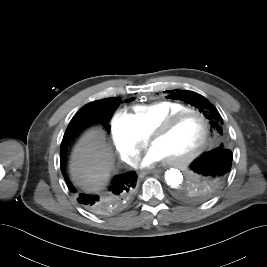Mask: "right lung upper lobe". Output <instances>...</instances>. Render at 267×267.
<instances>
[{
	"label": "right lung upper lobe",
	"mask_w": 267,
	"mask_h": 267,
	"mask_svg": "<svg viewBox=\"0 0 267 267\" xmlns=\"http://www.w3.org/2000/svg\"><path fill=\"white\" fill-rule=\"evenodd\" d=\"M101 101V100H100ZM100 101H95V102H93V103H95V104H100Z\"/></svg>",
	"instance_id": "right-lung-upper-lobe-1"
}]
</instances>
